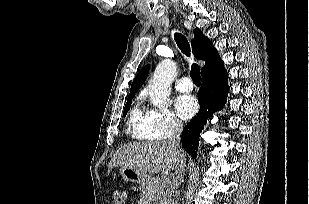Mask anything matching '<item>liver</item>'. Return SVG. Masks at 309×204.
Here are the masks:
<instances>
[{"label":"liver","instance_id":"obj_1","mask_svg":"<svg viewBox=\"0 0 309 204\" xmlns=\"http://www.w3.org/2000/svg\"><path fill=\"white\" fill-rule=\"evenodd\" d=\"M177 154L167 141L130 143L121 147L109 166H125L144 174L175 170Z\"/></svg>","mask_w":309,"mask_h":204}]
</instances>
